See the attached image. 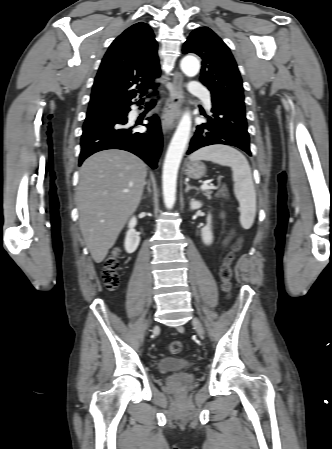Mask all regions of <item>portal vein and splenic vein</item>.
<instances>
[{"label": "portal vein and splenic vein", "mask_w": 332, "mask_h": 449, "mask_svg": "<svg viewBox=\"0 0 332 449\" xmlns=\"http://www.w3.org/2000/svg\"><path fill=\"white\" fill-rule=\"evenodd\" d=\"M209 188H211V186H209L207 183H204V184L201 186V189H202V190H206V189H209ZM125 192H128V191L126 190Z\"/></svg>", "instance_id": "1"}]
</instances>
